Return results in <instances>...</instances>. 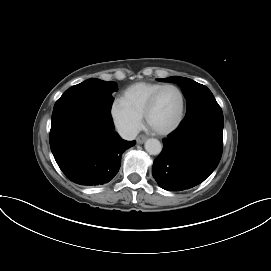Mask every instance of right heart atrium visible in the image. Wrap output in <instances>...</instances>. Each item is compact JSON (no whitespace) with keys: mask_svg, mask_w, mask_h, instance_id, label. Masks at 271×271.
<instances>
[{"mask_svg":"<svg viewBox=\"0 0 271 271\" xmlns=\"http://www.w3.org/2000/svg\"><path fill=\"white\" fill-rule=\"evenodd\" d=\"M110 116L115 128L124 138H133L141 129L142 116L130 110L121 99L112 102Z\"/></svg>","mask_w":271,"mask_h":271,"instance_id":"right-heart-atrium-1","label":"right heart atrium"}]
</instances>
